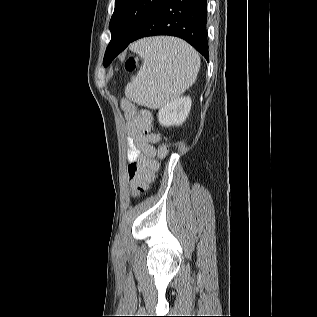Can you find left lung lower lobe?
<instances>
[{"label":"left lung lower lobe","mask_w":317,"mask_h":317,"mask_svg":"<svg viewBox=\"0 0 317 317\" xmlns=\"http://www.w3.org/2000/svg\"><path fill=\"white\" fill-rule=\"evenodd\" d=\"M206 22V0H164L130 41L124 44L111 41L106 51L113 60L138 39L170 35L187 41L208 61Z\"/></svg>","instance_id":"1"}]
</instances>
